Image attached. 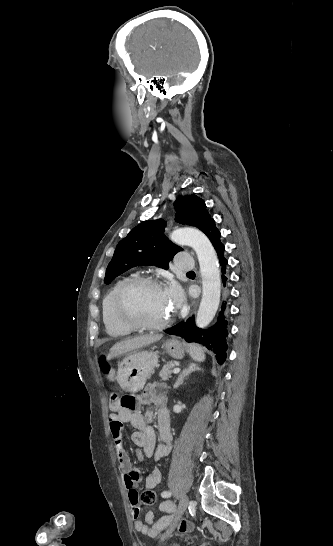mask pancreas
Returning <instances> with one entry per match:
<instances>
[{"label": "pancreas", "instance_id": "obj_1", "mask_svg": "<svg viewBox=\"0 0 333 546\" xmlns=\"http://www.w3.org/2000/svg\"><path fill=\"white\" fill-rule=\"evenodd\" d=\"M174 368H175V363L174 362H169L166 365H164V367L162 368V370H161V372L159 374L161 379L164 380V381H167L171 377V374H172Z\"/></svg>", "mask_w": 333, "mask_h": 546}]
</instances>
